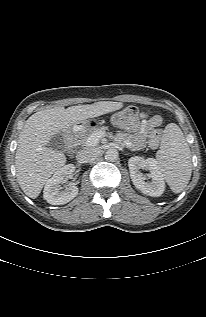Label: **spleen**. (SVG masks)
<instances>
[{
	"label": "spleen",
	"mask_w": 206,
	"mask_h": 317,
	"mask_svg": "<svg viewBox=\"0 0 206 317\" xmlns=\"http://www.w3.org/2000/svg\"><path fill=\"white\" fill-rule=\"evenodd\" d=\"M156 161L170 189L174 193L182 192L189 183L192 163L188 143L175 123L165 127Z\"/></svg>",
	"instance_id": "spleen-1"
}]
</instances>
